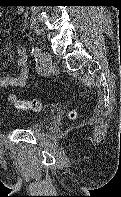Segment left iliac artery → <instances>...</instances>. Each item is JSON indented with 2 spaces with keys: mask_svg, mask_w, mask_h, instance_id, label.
<instances>
[{
  "mask_svg": "<svg viewBox=\"0 0 121 197\" xmlns=\"http://www.w3.org/2000/svg\"><path fill=\"white\" fill-rule=\"evenodd\" d=\"M40 53H41V50H40L39 47H33L32 50H31V55H32L33 57H35L36 60H37V58L39 57Z\"/></svg>",
  "mask_w": 121,
  "mask_h": 197,
  "instance_id": "44dca946",
  "label": "left iliac artery"
}]
</instances>
